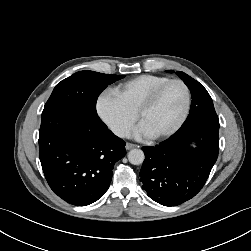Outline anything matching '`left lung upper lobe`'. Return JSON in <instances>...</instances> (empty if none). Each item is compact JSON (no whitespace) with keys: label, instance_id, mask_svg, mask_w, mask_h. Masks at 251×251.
<instances>
[{"label":"left lung upper lobe","instance_id":"5c2ea615","mask_svg":"<svg viewBox=\"0 0 251 251\" xmlns=\"http://www.w3.org/2000/svg\"><path fill=\"white\" fill-rule=\"evenodd\" d=\"M167 72L173 73V70ZM176 74L184 81L188 86L192 95V104L189 115L182 126H186L190 123L197 121H219L215 112L212 99L207 90L192 77L184 72H176Z\"/></svg>","mask_w":251,"mask_h":251}]
</instances>
